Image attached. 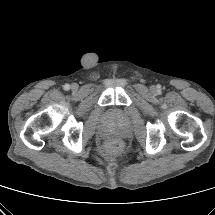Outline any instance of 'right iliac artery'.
Returning a JSON list of instances; mask_svg holds the SVG:
<instances>
[{"label": "right iliac artery", "instance_id": "right-iliac-artery-1", "mask_svg": "<svg viewBox=\"0 0 215 215\" xmlns=\"http://www.w3.org/2000/svg\"><path fill=\"white\" fill-rule=\"evenodd\" d=\"M64 89H65V90H69V89H70V85H69V84H65V85H64Z\"/></svg>", "mask_w": 215, "mask_h": 215}]
</instances>
